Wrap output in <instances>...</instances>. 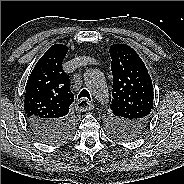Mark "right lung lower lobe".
I'll list each match as a JSON object with an SVG mask.
<instances>
[{
	"instance_id": "1",
	"label": "right lung lower lobe",
	"mask_w": 184,
	"mask_h": 184,
	"mask_svg": "<svg viewBox=\"0 0 184 184\" xmlns=\"http://www.w3.org/2000/svg\"><path fill=\"white\" fill-rule=\"evenodd\" d=\"M28 122L37 138L49 144L53 143L58 137L66 134V132L74 127V120L71 116L57 122L39 119H31L28 120Z\"/></svg>"
}]
</instances>
